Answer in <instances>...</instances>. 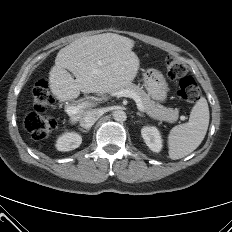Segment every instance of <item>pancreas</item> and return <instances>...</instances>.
<instances>
[{
	"label": "pancreas",
	"mask_w": 232,
	"mask_h": 232,
	"mask_svg": "<svg viewBox=\"0 0 232 232\" xmlns=\"http://www.w3.org/2000/svg\"><path fill=\"white\" fill-rule=\"evenodd\" d=\"M121 90H130L132 92H135L141 99L142 105L144 107V111L150 117L159 121H166L169 123H174L178 120L179 114L177 110H174L172 108H167L159 103H156L142 89V87H139L133 83H128L122 88L118 90H114L112 94H115Z\"/></svg>",
	"instance_id": "1"
}]
</instances>
